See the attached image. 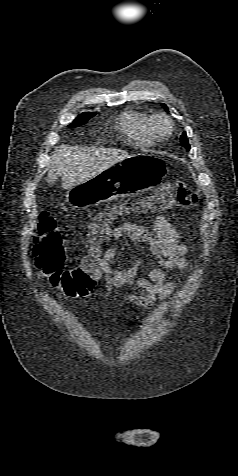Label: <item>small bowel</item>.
Masks as SVG:
<instances>
[{"instance_id": "c3829d8e", "label": "small bowel", "mask_w": 238, "mask_h": 476, "mask_svg": "<svg viewBox=\"0 0 238 476\" xmlns=\"http://www.w3.org/2000/svg\"><path fill=\"white\" fill-rule=\"evenodd\" d=\"M105 237L115 240L128 239L139 248L140 258L128 269L113 268L112 261L122 249L117 244L98 256L91 252L84 257V263L95 264L103 276L106 293L114 289L131 286L135 293H125L123 299L137 306L152 308L157 301L166 300L180 287L176 281H166V271L172 269L186 270L188 247L182 242L177 228L169 223L167 217H158L152 228L140 226L134 222H123L106 229ZM146 244L150 254L155 258L157 267L149 270L147 276L140 275V266L144 252L140 244ZM91 290L67 294L70 297L87 296Z\"/></svg>"}]
</instances>
